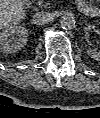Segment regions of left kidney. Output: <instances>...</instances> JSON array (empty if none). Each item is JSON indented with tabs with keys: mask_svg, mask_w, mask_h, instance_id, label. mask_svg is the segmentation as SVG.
<instances>
[{
	"mask_svg": "<svg viewBox=\"0 0 100 118\" xmlns=\"http://www.w3.org/2000/svg\"><path fill=\"white\" fill-rule=\"evenodd\" d=\"M87 54L95 60H100V52H98L96 49L87 50Z\"/></svg>",
	"mask_w": 100,
	"mask_h": 118,
	"instance_id": "5707ae66",
	"label": "left kidney"
}]
</instances>
